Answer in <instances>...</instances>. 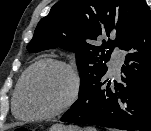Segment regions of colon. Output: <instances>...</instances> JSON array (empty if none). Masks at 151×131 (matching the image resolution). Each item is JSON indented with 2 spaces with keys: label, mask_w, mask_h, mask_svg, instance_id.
Returning a JSON list of instances; mask_svg holds the SVG:
<instances>
[{
  "label": "colon",
  "mask_w": 151,
  "mask_h": 131,
  "mask_svg": "<svg viewBox=\"0 0 151 131\" xmlns=\"http://www.w3.org/2000/svg\"><path fill=\"white\" fill-rule=\"evenodd\" d=\"M13 131H34V130L25 126H19L16 127Z\"/></svg>",
  "instance_id": "1"
}]
</instances>
